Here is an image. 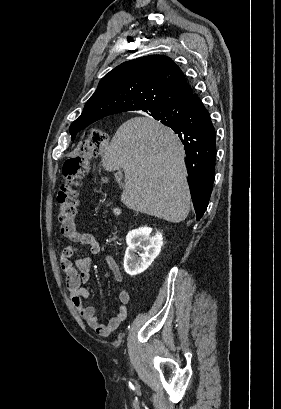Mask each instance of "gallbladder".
<instances>
[{"label":"gallbladder","mask_w":281,"mask_h":409,"mask_svg":"<svg viewBox=\"0 0 281 409\" xmlns=\"http://www.w3.org/2000/svg\"><path fill=\"white\" fill-rule=\"evenodd\" d=\"M115 176H118V172H116Z\"/></svg>","instance_id":"obj_1"}]
</instances>
